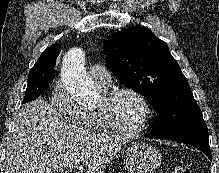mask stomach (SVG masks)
Returning a JSON list of instances; mask_svg holds the SVG:
<instances>
[{"label": "stomach", "instance_id": "1", "mask_svg": "<svg viewBox=\"0 0 219 173\" xmlns=\"http://www.w3.org/2000/svg\"><path fill=\"white\" fill-rule=\"evenodd\" d=\"M122 157L130 173H154L162 161V154L144 142H133L124 149Z\"/></svg>", "mask_w": 219, "mask_h": 173}]
</instances>
